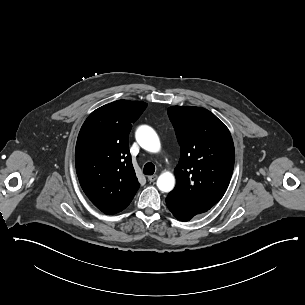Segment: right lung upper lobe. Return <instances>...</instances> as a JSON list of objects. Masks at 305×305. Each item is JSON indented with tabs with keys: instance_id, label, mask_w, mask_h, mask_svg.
<instances>
[{
	"instance_id": "cb5924a9",
	"label": "right lung upper lobe",
	"mask_w": 305,
	"mask_h": 305,
	"mask_svg": "<svg viewBox=\"0 0 305 305\" xmlns=\"http://www.w3.org/2000/svg\"><path fill=\"white\" fill-rule=\"evenodd\" d=\"M146 106L142 101L109 103L93 111L79 132L75 149L79 182L92 203L105 214L125 209L140 186L128 135Z\"/></svg>"
}]
</instances>
